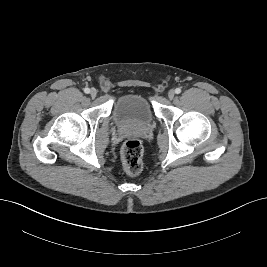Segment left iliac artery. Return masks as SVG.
I'll list each match as a JSON object with an SVG mask.
<instances>
[{
  "label": "left iliac artery",
  "instance_id": "obj_1",
  "mask_svg": "<svg viewBox=\"0 0 267 267\" xmlns=\"http://www.w3.org/2000/svg\"><path fill=\"white\" fill-rule=\"evenodd\" d=\"M175 93H176V94L181 93V89H180V88H176V89H175Z\"/></svg>",
  "mask_w": 267,
  "mask_h": 267
}]
</instances>
